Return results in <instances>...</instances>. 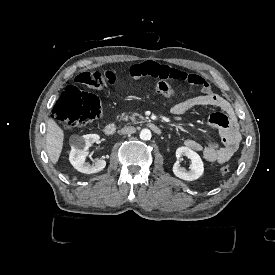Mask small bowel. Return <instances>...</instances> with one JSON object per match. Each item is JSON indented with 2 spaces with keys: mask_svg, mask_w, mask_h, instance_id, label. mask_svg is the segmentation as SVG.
Instances as JSON below:
<instances>
[{
  "mask_svg": "<svg viewBox=\"0 0 275 275\" xmlns=\"http://www.w3.org/2000/svg\"><path fill=\"white\" fill-rule=\"evenodd\" d=\"M133 74L137 77L149 76L153 80L161 78L165 80L180 79L184 82H194L197 85L203 83L204 78L199 71L181 72L180 69L172 65L160 66L154 62H145L136 65ZM104 82L107 85H114L118 79V73L114 69H109L104 75ZM203 94L200 96L177 101L171 107V113L174 116H182L188 111L196 107L214 106L223 111L229 118V124L226 127L217 126L215 124L205 125L201 129V133L205 138V143H201L194 139L184 140V145L194 151L199 152L208 162H217L220 164L228 162L235 152L239 149L241 143V133L239 130L236 112L232 104L218 94L213 93L208 84L203 85ZM212 131H218L222 139V144L210 138Z\"/></svg>",
  "mask_w": 275,
  "mask_h": 275,
  "instance_id": "obj_1",
  "label": "small bowel"
}]
</instances>
